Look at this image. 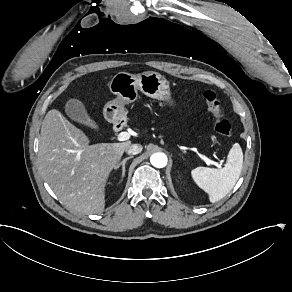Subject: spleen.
Here are the masks:
<instances>
[{
	"label": "spleen",
	"instance_id": "3e777b00",
	"mask_svg": "<svg viewBox=\"0 0 292 292\" xmlns=\"http://www.w3.org/2000/svg\"><path fill=\"white\" fill-rule=\"evenodd\" d=\"M243 167V152L238 143L230 149L224 167H197L190 171L193 182L203 190L211 203L225 197L236 184Z\"/></svg>",
	"mask_w": 292,
	"mask_h": 292
}]
</instances>
